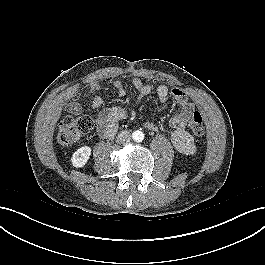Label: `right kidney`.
Returning a JSON list of instances; mask_svg holds the SVG:
<instances>
[{
    "label": "right kidney",
    "mask_w": 265,
    "mask_h": 265,
    "mask_svg": "<svg viewBox=\"0 0 265 265\" xmlns=\"http://www.w3.org/2000/svg\"><path fill=\"white\" fill-rule=\"evenodd\" d=\"M91 148L89 146H83L78 148L71 157V163L74 167H83L89 160L91 155Z\"/></svg>",
    "instance_id": "ca27d5eb"
}]
</instances>
